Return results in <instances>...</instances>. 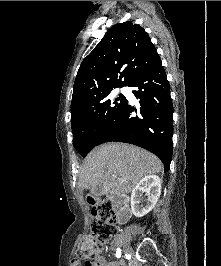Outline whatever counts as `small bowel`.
<instances>
[{"label": "small bowel", "instance_id": "obj_1", "mask_svg": "<svg viewBox=\"0 0 221 266\" xmlns=\"http://www.w3.org/2000/svg\"><path fill=\"white\" fill-rule=\"evenodd\" d=\"M72 266H82L80 258H73ZM84 266H116L115 263H107L104 256H98L93 263H86Z\"/></svg>", "mask_w": 221, "mask_h": 266}]
</instances>
